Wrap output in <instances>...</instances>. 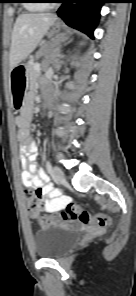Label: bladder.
<instances>
[{"label":"bladder","instance_id":"obj_1","mask_svg":"<svg viewBox=\"0 0 136 296\" xmlns=\"http://www.w3.org/2000/svg\"><path fill=\"white\" fill-rule=\"evenodd\" d=\"M76 242L77 233L63 225L48 226L34 233L35 253L44 259L62 257Z\"/></svg>","mask_w":136,"mask_h":296}]
</instances>
